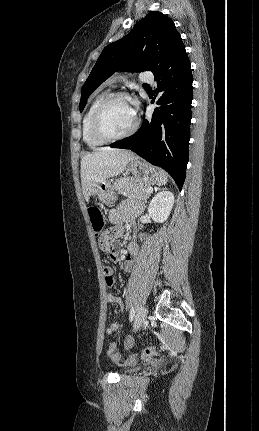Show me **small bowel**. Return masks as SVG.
Here are the masks:
<instances>
[{"mask_svg":"<svg viewBox=\"0 0 259 431\" xmlns=\"http://www.w3.org/2000/svg\"><path fill=\"white\" fill-rule=\"evenodd\" d=\"M130 214H131L130 209L125 206H121L117 209L111 210L109 213V221L111 223V227L105 231V236L112 241L121 237L123 233V224L125 220H127L130 217ZM137 249H138L137 244L133 242L129 245L127 252L123 256L124 258L123 268L126 272H130L132 270L133 258L137 253ZM104 274H105L106 287L108 288L113 287L115 277L113 276L112 269L110 267H105ZM106 300L109 303L118 304L121 307L124 306L123 300L114 294L109 293L106 296ZM119 328H120L119 324L116 322H113L106 329V334L111 335L117 332Z\"/></svg>","mask_w":259,"mask_h":431,"instance_id":"1","label":"small bowel"}]
</instances>
